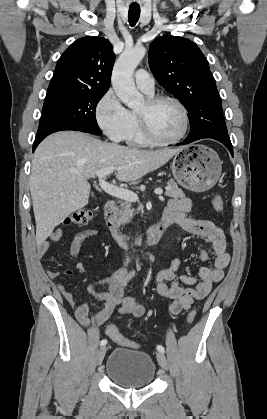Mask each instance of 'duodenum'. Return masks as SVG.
I'll return each instance as SVG.
<instances>
[{
    "label": "duodenum",
    "mask_w": 267,
    "mask_h": 419,
    "mask_svg": "<svg viewBox=\"0 0 267 419\" xmlns=\"http://www.w3.org/2000/svg\"><path fill=\"white\" fill-rule=\"evenodd\" d=\"M117 210V204L114 200H109L104 206V218L106 225L115 239V241L120 245H134L137 243V238L130 239L125 235L119 225L116 222L115 215ZM171 225V222L162 217L161 220L153 225L145 235V241L147 244H155L159 242L166 232V230Z\"/></svg>",
    "instance_id": "duodenum-1"
}]
</instances>
